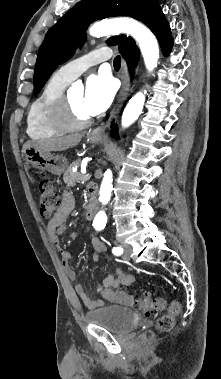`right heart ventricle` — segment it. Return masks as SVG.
<instances>
[{
    "label": "right heart ventricle",
    "mask_w": 221,
    "mask_h": 379,
    "mask_svg": "<svg viewBox=\"0 0 221 379\" xmlns=\"http://www.w3.org/2000/svg\"><path fill=\"white\" fill-rule=\"evenodd\" d=\"M70 82L54 74L31 103L27 113V134L35 140L48 139L66 130L52 120V109Z\"/></svg>",
    "instance_id": "1"
}]
</instances>
